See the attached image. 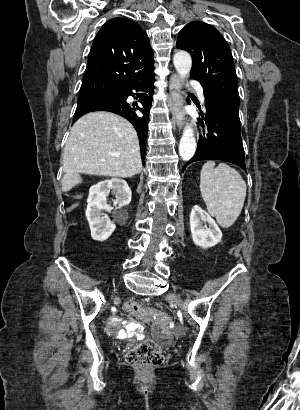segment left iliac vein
Masks as SVG:
<instances>
[{
  "instance_id": "4c4485c4",
  "label": "left iliac vein",
  "mask_w": 300,
  "mask_h": 410,
  "mask_svg": "<svg viewBox=\"0 0 300 410\" xmlns=\"http://www.w3.org/2000/svg\"><path fill=\"white\" fill-rule=\"evenodd\" d=\"M166 299L172 302H177L179 305L182 304V300L180 297H178L176 294H168L166 296Z\"/></svg>"
}]
</instances>
